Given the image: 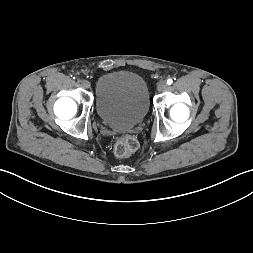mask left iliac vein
Returning a JSON list of instances; mask_svg holds the SVG:
<instances>
[{"mask_svg":"<svg viewBox=\"0 0 253 253\" xmlns=\"http://www.w3.org/2000/svg\"><path fill=\"white\" fill-rule=\"evenodd\" d=\"M168 85L166 83V81H160L157 85V90L159 92L165 91L167 89Z\"/></svg>","mask_w":253,"mask_h":253,"instance_id":"obj_1","label":"left iliac vein"}]
</instances>
